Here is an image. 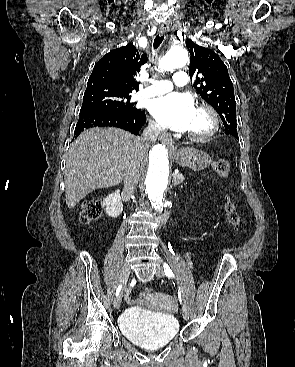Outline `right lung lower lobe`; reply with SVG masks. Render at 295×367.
Masks as SVG:
<instances>
[{"label":"right lung lower lobe","mask_w":295,"mask_h":367,"mask_svg":"<svg viewBox=\"0 0 295 367\" xmlns=\"http://www.w3.org/2000/svg\"><path fill=\"white\" fill-rule=\"evenodd\" d=\"M145 123L146 115L145 112L141 110L135 112H83L79 114L74 138H77L83 130L91 127H118L135 135H139L140 129Z\"/></svg>","instance_id":"right-lung-lower-lobe-1"}]
</instances>
